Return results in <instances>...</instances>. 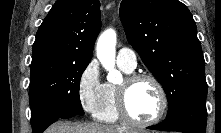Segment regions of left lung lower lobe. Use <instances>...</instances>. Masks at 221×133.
I'll use <instances>...</instances> for the list:
<instances>
[{"label": "left lung lower lobe", "mask_w": 221, "mask_h": 133, "mask_svg": "<svg viewBox=\"0 0 221 133\" xmlns=\"http://www.w3.org/2000/svg\"><path fill=\"white\" fill-rule=\"evenodd\" d=\"M207 122L206 98L189 101L176 113L154 126L152 130L177 131L182 133H205Z\"/></svg>", "instance_id": "1"}]
</instances>
